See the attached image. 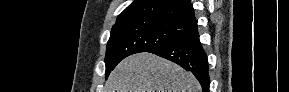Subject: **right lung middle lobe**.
Here are the masks:
<instances>
[{
    "mask_svg": "<svg viewBox=\"0 0 289 92\" xmlns=\"http://www.w3.org/2000/svg\"><path fill=\"white\" fill-rule=\"evenodd\" d=\"M189 26L150 18L128 19L115 23L107 43L106 78L125 57L148 52L188 32Z\"/></svg>",
    "mask_w": 289,
    "mask_h": 92,
    "instance_id": "dd1d6c3e",
    "label": "right lung middle lobe"
}]
</instances>
